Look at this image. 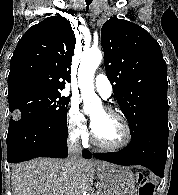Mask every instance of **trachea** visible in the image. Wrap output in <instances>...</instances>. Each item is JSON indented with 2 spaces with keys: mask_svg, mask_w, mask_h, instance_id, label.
<instances>
[{
  "mask_svg": "<svg viewBox=\"0 0 178 195\" xmlns=\"http://www.w3.org/2000/svg\"><path fill=\"white\" fill-rule=\"evenodd\" d=\"M87 4V10L89 9V5L92 3V0H85Z\"/></svg>",
  "mask_w": 178,
  "mask_h": 195,
  "instance_id": "3493384b",
  "label": "trachea"
}]
</instances>
